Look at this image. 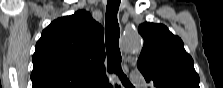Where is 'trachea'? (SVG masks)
<instances>
[{"label": "trachea", "mask_w": 223, "mask_h": 88, "mask_svg": "<svg viewBox=\"0 0 223 88\" xmlns=\"http://www.w3.org/2000/svg\"><path fill=\"white\" fill-rule=\"evenodd\" d=\"M121 0H108L106 8V52L108 60V72L119 76L125 87H132L127 76L121 69V52L119 49V24L117 13Z\"/></svg>", "instance_id": "obj_1"}]
</instances>
